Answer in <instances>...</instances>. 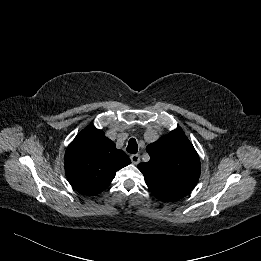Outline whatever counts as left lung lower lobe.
<instances>
[{
  "label": "left lung lower lobe",
  "mask_w": 261,
  "mask_h": 261,
  "mask_svg": "<svg viewBox=\"0 0 261 261\" xmlns=\"http://www.w3.org/2000/svg\"><path fill=\"white\" fill-rule=\"evenodd\" d=\"M160 200H163V201H175V200H178V199H173V198H162Z\"/></svg>",
  "instance_id": "left-lung-lower-lobe-1"
}]
</instances>
